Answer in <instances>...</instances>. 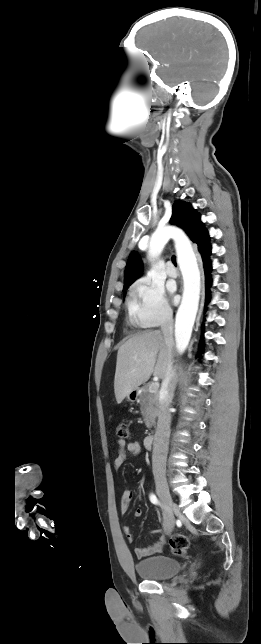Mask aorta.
Instances as JSON below:
<instances>
[{
  "label": "aorta",
  "mask_w": 261,
  "mask_h": 644,
  "mask_svg": "<svg viewBox=\"0 0 261 644\" xmlns=\"http://www.w3.org/2000/svg\"><path fill=\"white\" fill-rule=\"evenodd\" d=\"M170 233L167 231H156L149 243L148 258L150 260L158 257ZM178 264L184 280V292L181 305L178 308L175 323V341L179 353L187 348L196 313L199 304L200 275L194 253L191 249L181 248L178 250Z\"/></svg>",
  "instance_id": "762f6f07"
}]
</instances>
